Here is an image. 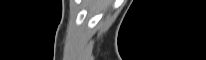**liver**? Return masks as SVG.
<instances>
[{
	"label": "liver",
	"mask_w": 206,
	"mask_h": 60,
	"mask_svg": "<svg viewBox=\"0 0 206 60\" xmlns=\"http://www.w3.org/2000/svg\"><path fill=\"white\" fill-rule=\"evenodd\" d=\"M108 0H88L87 6L91 11H101L109 6Z\"/></svg>",
	"instance_id": "1"
}]
</instances>
